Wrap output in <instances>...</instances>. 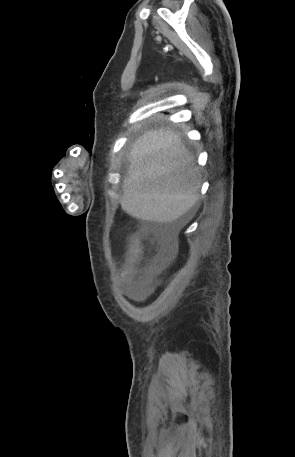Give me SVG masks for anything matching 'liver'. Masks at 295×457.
I'll return each instance as SVG.
<instances>
[{
	"mask_svg": "<svg viewBox=\"0 0 295 457\" xmlns=\"http://www.w3.org/2000/svg\"><path fill=\"white\" fill-rule=\"evenodd\" d=\"M199 188V168L181 136L159 128L133 143L120 203L136 219L173 222L194 206Z\"/></svg>",
	"mask_w": 295,
	"mask_h": 457,
	"instance_id": "obj_1",
	"label": "liver"
}]
</instances>
